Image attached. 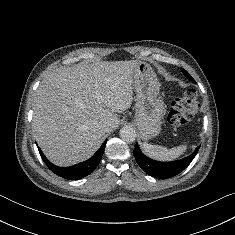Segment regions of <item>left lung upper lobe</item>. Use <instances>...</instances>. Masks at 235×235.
Masks as SVG:
<instances>
[{
    "label": "left lung upper lobe",
    "instance_id": "obj_1",
    "mask_svg": "<svg viewBox=\"0 0 235 235\" xmlns=\"http://www.w3.org/2000/svg\"><path fill=\"white\" fill-rule=\"evenodd\" d=\"M182 72L189 80L195 82L194 79L191 77V75L185 69H182Z\"/></svg>",
    "mask_w": 235,
    "mask_h": 235
}]
</instances>
